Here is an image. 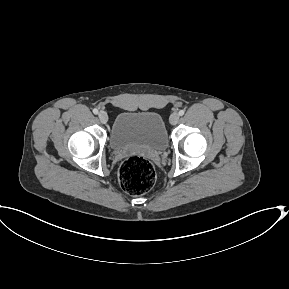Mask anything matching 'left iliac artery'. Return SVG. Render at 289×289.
Masks as SVG:
<instances>
[{
	"mask_svg": "<svg viewBox=\"0 0 289 289\" xmlns=\"http://www.w3.org/2000/svg\"><path fill=\"white\" fill-rule=\"evenodd\" d=\"M184 113H185V110H184V109H182V110L179 111V115H180V116H183Z\"/></svg>",
	"mask_w": 289,
	"mask_h": 289,
	"instance_id": "obj_1",
	"label": "left iliac artery"
}]
</instances>
